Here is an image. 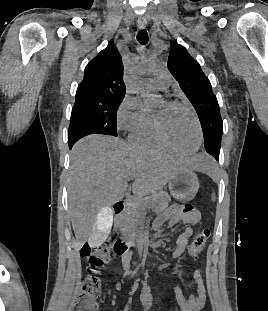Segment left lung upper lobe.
Here are the masks:
<instances>
[{
  "instance_id": "obj_1",
  "label": "left lung upper lobe",
  "mask_w": 268,
  "mask_h": 311,
  "mask_svg": "<svg viewBox=\"0 0 268 311\" xmlns=\"http://www.w3.org/2000/svg\"><path fill=\"white\" fill-rule=\"evenodd\" d=\"M167 65L198 114L205 149L220 151L223 122L209 79L199 63L176 41L171 42Z\"/></svg>"
}]
</instances>
